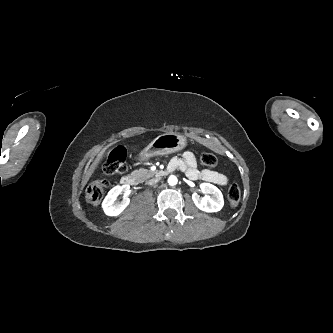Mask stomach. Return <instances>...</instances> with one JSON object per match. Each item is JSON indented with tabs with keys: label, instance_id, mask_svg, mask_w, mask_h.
<instances>
[{
	"label": "stomach",
	"instance_id": "0dacf381",
	"mask_svg": "<svg viewBox=\"0 0 333 333\" xmlns=\"http://www.w3.org/2000/svg\"><path fill=\"white\" fill-rule=\"evenodd\" d=\"M186 146V139L178 133H165L159 135L141 153L142 161L158 155L171 154L181 151Z\"/></svg>",
	"mask_w": 333,
	"mask_h": 333
}]
</instances>
